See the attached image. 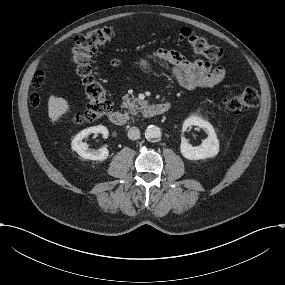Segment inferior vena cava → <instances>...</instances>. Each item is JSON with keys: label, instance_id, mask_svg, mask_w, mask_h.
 <instances>
[{"label": "inferior vena cava", "instance_id": "inferior-vena-cava-1", "mask_svg": "<svg viewBox=\"0 0 285 285\" xmlns=\"http://www.w3.org/2000/svg\"><path fill=\"white\" fill-rule=\"evenodd\" d=\"M128 138L131 140H138L140 138V130L137 127H131L128 130Z\"/></svg>", "mask_w": 285, "mask_h": 285}]
</instances>
